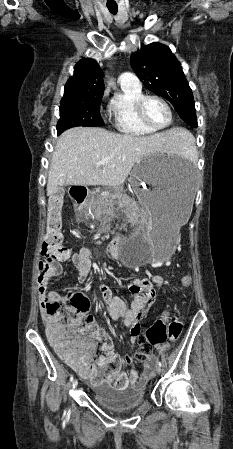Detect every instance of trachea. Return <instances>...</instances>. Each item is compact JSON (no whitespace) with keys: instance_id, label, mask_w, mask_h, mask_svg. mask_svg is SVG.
Listing matches in <instances>:
<instances>
[{"instance_id":"obj_1","label":"trachea","mask_w":233,"mask_h":449,"mask_svg":"<svg viewBox=\"0 0 233 449\" xmlns=\"http://www.w3.org/2000/svg\"><path fill=\"white\" fill-rule=\"evenodd\" d=\"M108 10L110 11V13L112 14H116L117 13V6H107Z\"/></svg>"}]
</instances>
